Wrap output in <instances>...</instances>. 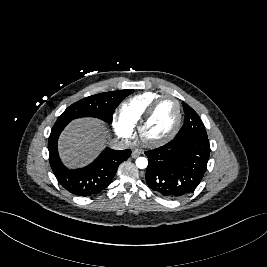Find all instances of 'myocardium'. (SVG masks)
Segmentation results:
<instances>
[{
    "label": "myocardium",
    "instance_id": "1",
    "mask_svg": "<svg viewBox=\"0 0 267 267\" xmlns=\"http://www.w3.org/2000/svg\"><path fill=\"white\" fill-rule=\"evenodd\" d=\"M166 99H171L176 103V106H177L176 123H175L173 129L166 136L159 138V139H148L144 136L145 127H146L147 123L149 122V120L151 119L152 115L154 114L157 106L163 100H166ZM181 123H182V105H181V102L176 97H174L172 95H161L150 103V105L147 107L144 114L142 115L140 121L138 122V125H137L138 137L144 144H146L148 146H160V145H163V144L169 142L170 140H172L176 136V134L178 133V131L181 127Z\"/></svg>",
    "mask_w": 267,
    "mask_h": 267
}]
</instances>
